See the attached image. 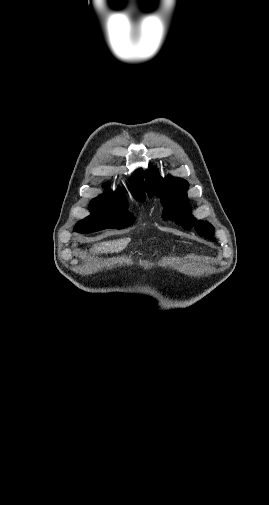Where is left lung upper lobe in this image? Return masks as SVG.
I'll return each instance as SVG.
<instances>
[{"mask_svg": "<svg viewBox=\"0 0 269 505\" xmlns=\"http://www.w3.org/2000/svg\"><path fill=\"white\" fill-rule=\"evenodd\" d=\"M146 190L150 197L160 193L164 205L162 217L174 220L185 229L195 228L197 233L209 239H214V227L207 221H198L190 213L187 202V181L168 175L161 178L156 173L146 171Z\"/></svg>", "mask_w": 269, "mask_h": 505, "instance_id": "1", "label": "left lung upper lobe"}]
</instances>
